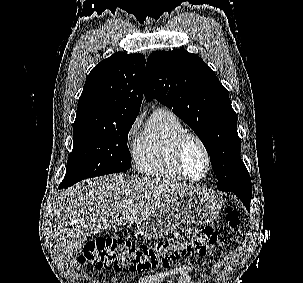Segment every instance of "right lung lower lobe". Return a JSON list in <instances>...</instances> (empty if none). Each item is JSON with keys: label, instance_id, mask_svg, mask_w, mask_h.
I'll list each match as a JSON object with an SVG mask.
<instances>
[{"label": "right lung lower lobe", "instance_id": "1", "mask_svg": "<svg viewBox=\"0 0 303 283\" xmlns=\"http://www.w3.org/2000/svg\"><path fill=\"white\" fill-rule=\"evenodd\" d=\"M59 187H60V188L65 187V188H66V187H68V186H67V185H65L64 183H61Z\"/></svg>", "mask_w": 303, "mask_h": 283}]
</instances>
